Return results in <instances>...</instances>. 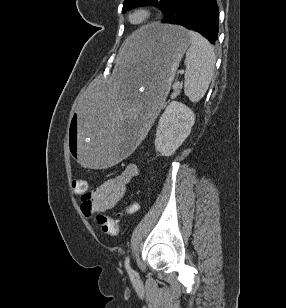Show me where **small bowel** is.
<instances>
[{"label":"small bowel","mask_w":286,"mask_h":308,"mask_svg":"<svg viewBox=\"0 0 286 308\" xmlns=\"http://www.w3.org/2000/svg\"><path fill=\"white\" fill-rule=\"evenodd\" d=\"M137 175V166L128 164L117 176L105 180L92 190L77 193L80 195V208L84 216L90 218L95 213L106 212L115 208L123 199L127 185Z\"/></svg>","instance_id":"small-bowel-1"}]
</instances>
